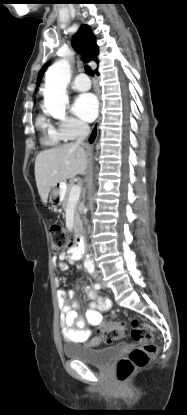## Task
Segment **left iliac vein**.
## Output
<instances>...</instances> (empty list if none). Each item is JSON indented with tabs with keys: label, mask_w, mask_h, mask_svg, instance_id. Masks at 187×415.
Instances as JSON below:
<instances>
[{
	"label": "left iliac vein",
	"mask_w": 187,
	"mask_h": 415,
	"mask_svg": "<svg viewBox=\"0 0 187 415\" xmlns=\"http://www.w3.org/2000/svg\"><path fill=\"white\" fill-rule=\"evenodd\" d=\"M98 280L100 281L101 287H102L103 289H106V288H107V286H106V284L103 282V280H102V277H101V276H99V277H98Z\"/></svg>",
	"instance_id": "left-iliac-vein-1"
}]
</instances>
